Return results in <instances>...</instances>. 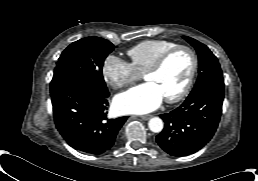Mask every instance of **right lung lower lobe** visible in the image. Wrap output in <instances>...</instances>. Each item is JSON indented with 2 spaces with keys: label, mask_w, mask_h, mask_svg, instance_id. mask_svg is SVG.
<instances>
[{
  "label": "right lung lower lobe",
  "mask_w": 258,
  "mask_h": 181,
  "mask_svg": "<svg viewBox=\"0 0 258 181\" xmlns=\"http://www.w3.org/2000/svg\"><path fill=\"white\" fill-rule=\"evenodd\" d=\"M53 116L58 131L76 150L99 155L109 150L127 117L108 119V97L63 78L50 84Z\"/></svg>",
  "instance_id": "1"
}]
</instances>
